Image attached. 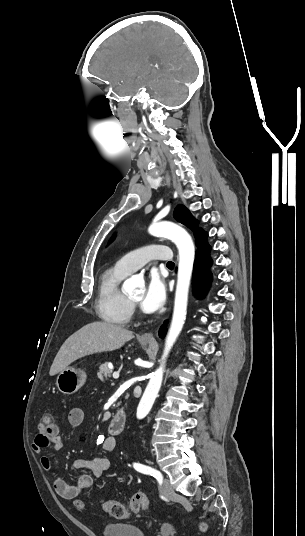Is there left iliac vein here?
<instances>
[{
	"mask_svg": "<svg viewBox=\"0 0 305 536\" xmlns=\"http://www.w3.org/2000/svg\"><path fill=\"white\" fill-rule=\"evenodd\" d=\"M162 493L166 496L174 494V490L170 485V481L167 478H163L162 481Z\"/></svg>",
	"mask_w": 305,
	"mask_h": 536,
	"instance_id": "obj_1",
	"label": "left iliac vein"
}]
</instances>
